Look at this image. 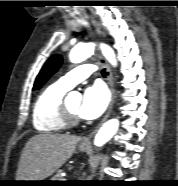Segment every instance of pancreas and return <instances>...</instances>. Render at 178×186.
Here are the masks:
<instances>
[{
  "instance_id": "cf45deb5",
  "label": "pancreas",
  "mask_w": 178,
  "mask_h": 186,
  "mask_svg": "<svg viewBox=\"0 0 178 186\" xmlns=\"http://www.w3.org/2000/svg\"><path fill=\"white\" fill-rule=\"evenodd\" d=\"M52 180H53V181H62L63 179H62V176H61V172L58 171V172L54 175V177H53Z\"/></svg>"
}]
</instances>
